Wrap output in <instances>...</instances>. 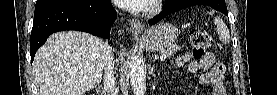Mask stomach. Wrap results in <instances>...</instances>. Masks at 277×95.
Masks as SVG:
<instances>
[{
	"label": "stomach",
	"mask_w": 277,
	"mask_h": 95,
	"mask_svg": "<svg viewBox=\"0 0 277 95\" xmlns=\"http://www.w3.org/2000/svg\"><path fill=\"white\" fill-rule=\"evenodd\" d=\"M179 30L169 23H160L145 33L144 44L152 52L161 51L172 45L178 38Z\"/></svg>",
	"instance_id": "stomach-1"
}]
</instances>
